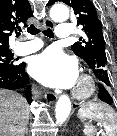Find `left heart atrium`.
I'll return each mask as SVG.
<instances>
[{"label": "left heart atrium", "mask_w": 117, "mask_h": 136, "mask_svg": "<svg viewBox=\"0 0 117 136\" xmlns=\"http://www.w3.org/2000/svg\"><path fill=\"white\" fill-rule=\"evenodd\" d=\"M30 74L43 85L54 88L72 87L78 77L76 61L59 48H49L32 58Z\"/></svg>", "instance_id": "left-heart-atrium-1"}]
</instances>
